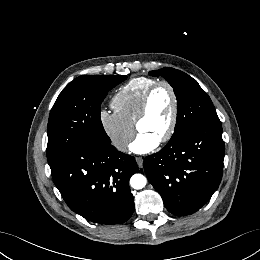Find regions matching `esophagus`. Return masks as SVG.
Masks as SVG:
<instances>
[{
	"label": "esophagus",
	"mask_w": 260,
	"mask_h": 260,
	"mask_svg": "<svg viewBox=\"0 0 260 260\" xmlns=\"http://www.w3.org/2000/svg\"><path fill=\"white\" fill-rule=\"evenodd\" d=\"M136 162L139 168L143 167V158L142 157H136Z\"/></svg>",
	"instance_id": "esophagus-1"
}]
</instances>
